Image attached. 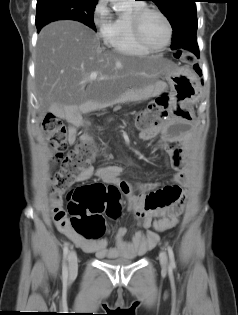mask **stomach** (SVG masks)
Masks as SVG:
<instances>
[{
  "instance_id": "1",
  "label": "stomach",
  "mask_w": 238,
  "mask_h": 315,
  "mask_svg": "<svg viewBox=\"0 0 238 315\" xmlns=\"http://www.w3.org/2000/svg\"><path fill=\"white\" fill-rule=\"evenodd\" d=\"M164 61L170 66L169 61ZM160 76L169 83L173 91L170 116H176L177 122H195L197 109H194L193 104L200 99L201 91V84H196V73L178 72L168 67Z\"/></svg>"
}]
</instances>
